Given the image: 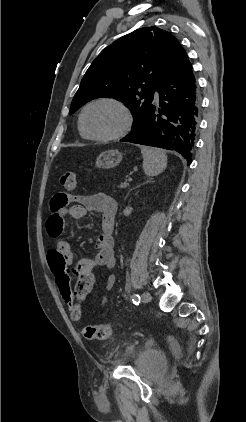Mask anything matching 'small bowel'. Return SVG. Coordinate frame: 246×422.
Instances as JSON below:
<instances>
[{"label": "small bowel", "instance_id": "obj_1", "mask_svg": "<svg viewBox=\"0 0 246 422\" xmlns=\"http://www.w3.org/2000/svg\"><path fill=\"white\" fill-rule=\"evenodd\" d=\"M87 211L101 213L102 231L95 242L97 250L95 256L82 258L74 265L72 272L76 276L93 272L98 267L113 268L115 266L113 232L117 211L116 201L103 193L81 196L58 193L52 198L51 213L47 220V232L51 237L56 238L62 233L64 221L67 217L78 220L83 218ZM55 249L66 258L69 265L73 264L75 255L68 241H58ZM115 283V275H109L106 280V289L111 290ZM105 301V299H102V304Z\"/></svg>", "mask_w": 246, "mask_h": 422}]
</instances>
